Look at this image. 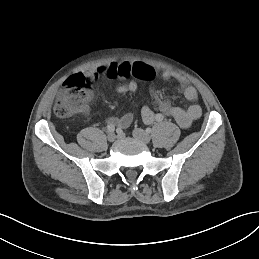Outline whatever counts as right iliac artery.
Masks as SVG:
<instances>
[{"label":"right iliac artery","instance_id":"right-iliac-artery-1","mask_svg":"<svg viewBox=\"0 0 259 259\" xmlns=\"http://www.w3.org/2000/svg\"><path fill=\"white\" fill-rule=\"evenodd\" d=\"M107 130H108L109 132H114L115 126H114L113 124H109V125L107 126Z\"/></svg>","mask_w":259,"mask_h":259}]
</instances>
